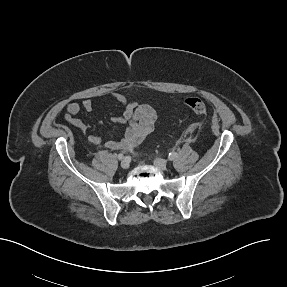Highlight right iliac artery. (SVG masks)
Wrapping results in <instances>:
<instances>
[{"mask_svg":"<svg viewBox=\"0 0 287 287\" xmlns=\"http://www.w3.org/2000/svg\"><path fill=\"white\" fill-rule=\"evenodd\" d=\"M118 159H119V160L124 159V155H123L122 153H120V154L118 155Z\"/></svg>","mask_w":287,"mask_h":287,"instance_id":"82829eb1","label":"right iliac artery"}]
</instances>
